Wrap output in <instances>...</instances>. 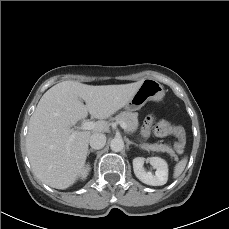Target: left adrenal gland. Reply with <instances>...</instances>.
<instances>
[{
	"label": "left adrenal gland",
	"instance_id": "left-adrenal-gland-1",
	"mask_svg": "<svg viewBox=\"0 0 229 229\" xmlns=\"http://www.w3.org/2000/svg\"><path fill=\"white\" fill-rule=\"evenodd\" d=\"M127 144H128V145L133 144V145L137 146L135 143H133V142H131V141H129V140H127Z\"/></svg>",
	"mask_w": 229,
	"mask_h": 229
}]
</instances>
